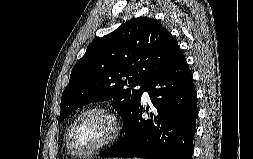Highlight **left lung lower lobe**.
I'll list each match as a JSON object with an SVG mask.
<instances>
[{
  "mask_svg": "<svg viewBox=\"0 0 253 159\" xmlns=\"http://www.w3.org/2000/svg\"><path fill=\"white\" fill-rule=\"evenodd\" d=\"M154 110L142 118L140 104L124 124L125 135L101 157L192 159L196 132L197 94L193 76L179 50L145 86ZM148 111V109H147Z\"/></svg>",
  "mask_w": 253,
  "mask_h": 159,
  "instance_id": "left-lung-lower-lobe-1",
  "label": "left lung lower lobe"
}]
</instances>
